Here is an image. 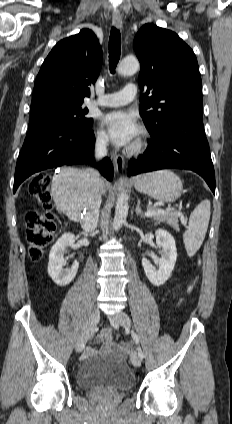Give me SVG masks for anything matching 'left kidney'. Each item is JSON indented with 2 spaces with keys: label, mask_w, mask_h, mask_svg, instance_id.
I'll return each mask as SVG.
<instances>
[{
  "label": "left kidney",
  "mask_w": 232,
  "mask_h": 424,
  "mask_svg": "<svg viewBox=\"0 0 232 424\" xmlns=\"http://www.w3.org/2000/svg\"><path fill=\"white\" fill-rule=\"evenodd\" d=\"M156 244L162 248L159 268L152 267L147 259H142V266L148 280L154 286L163 285L171 276L177 259V249L173 236L166 230L155 232Z\"/></svg>",
  "instance_id": "5707ae66"
}]
</instances>
